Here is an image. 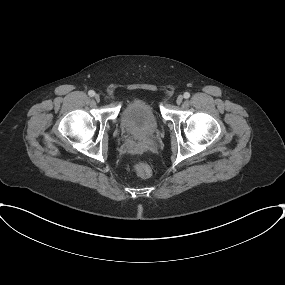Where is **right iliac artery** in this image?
<instances>
[{
  "instance_id": "1",
  "label": "right iliac artery",
  "mask_w": 285,
  "mask_h": 285,
  "mask_svg": "<svg viewBox=\"0 0 285 285\" xmlns=\"http://www.w3.org/2000/svg\"><path fill=\"white\" fill-rule=\"evenodd\" d=\"M88 95H89L90 97H93V96L95 95V92H94L93 90H90V91L88 92Z\"/></svg>"
}]
</instances>
